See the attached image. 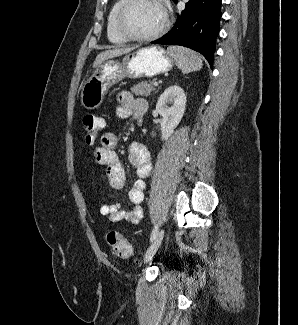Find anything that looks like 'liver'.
<instances>
[{
  "label": "liver",
  "mask_w": 298,
  "mask_h": 325,
  "mask_svg": "<svg viewBox=\"0 0 298 325\" xmlns=\"http://www.w3.org/2000/svg\"><path fill=\"white\" fill-rule=\"evenodd\" d=\"M134 48H136V46H131V48H118V46H114V48H107V50H102V52H99V54L95 56L92 68H96V66H99V64H102V62H105V60H108V58H115V56H122V54H127V52L134 50Z\"/></svg>",
  "instance_id": "obj_1"
}]
</instances>
